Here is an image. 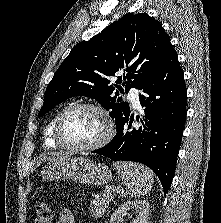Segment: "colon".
I'll use <instances>...</instances> for the list:
<instances>
[{
    "mask_svg": "<svg viewBox=\"0 0 221 223\" xmlns=\"http://www.w3.org/2000/svg\"><path fill=\"white\" fill-rule=\"evenodd\" d=\"M54 210L47 201H40L35 208L34 223H52Z\"/></svg>",
    "mask_w": 221,
    "mask_h": 223,
    "instance_id": "5ec220e1",
    "label": "colon"
}]
</instances>
